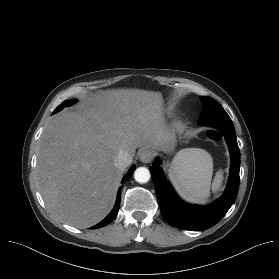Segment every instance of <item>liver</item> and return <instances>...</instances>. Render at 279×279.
<instances>
[{
  "label": "liver",
  "instance_id": "obj_1",
  "mask_svg": "<svg viewBox=\"0 0 279 279\" xmlns=\"http://www.w3.org/2000/svg\"><path fill=\"white\" fill-rule=\"evenodd\" d=\"M158 92L116 89L98 94L79 111L63 112L45 126L36 176L47 210L60 221L87 228L112 209L123 170L120 152L168 150L174 133Z\"/></svg>",
  "mask_w": 279,
  "mask_h": 279
}]
</instances>
